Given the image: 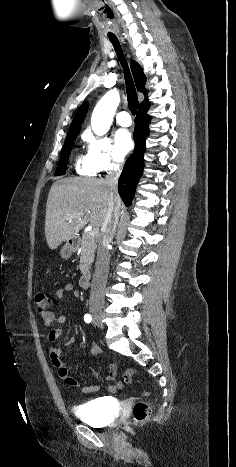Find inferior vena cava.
<instances>
[{"label": "inferior vena cava", "mask_w": 236, "mask_h": 467, "mask_svg": "<svg viewBox=\"0 0 236 467\" xmlns=\"http://www.w3.org/2000/svg\"><path fill=\"white\" fill-rule=\"evenodd\" d=\"M121 173L120 164H116L107 172L105 183L109 187L111 200L105 220L101 226L98 239L97 260L90 291V306L102 307L104 303L103 293L109 272L110 254L108 246L112 242L119 220L120 208L114 199L118 197L117 182Z\"/></svg>", "instance_id": "obj_1"}]
</instances>
